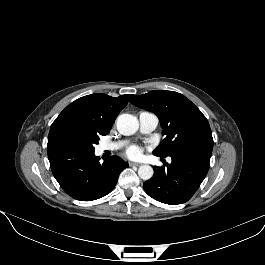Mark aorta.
I'll use <instances>...</instances> for the list:
<instances>
[{
  "label": "aorta",
  "mask_w": 265,
  "mask_h": 265,
  "mask_svg": "<svg viewBox=\"0 0 265 265\" xmlns=\"http://www.w3.org/2000/svg\"><path fill=\"white\" fill-rule=\"evenodd\" d=\"M116 127L120 134L130 136L136 133L139 128V124L133 115L121 114L117 118ZM153 173V168L150 165H141L138 169V175L143 180L151 179Z\"/></svg>",
  "instance_id": "obj_1"
}]
</instances>
